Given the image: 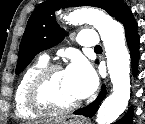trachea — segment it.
Wrapping results in <instances>:
<instances>
[{"instance_id": "obj_1", "label": "trachea", "mask_w": 145, "mask_h": 124, "mask_svg": "<svg viewBox=\"0 0 145 124\" xmlns=\"http://www.w3.org/2000/svg\"><path fill=\"white\" fill-rule=\"evenodd\" d=\"M94 49H95V50H102V47L98 45V46H96Z\"/></svg>"}]
</instances>
